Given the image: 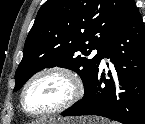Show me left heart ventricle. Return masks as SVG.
Instances as JSON below:
<instances>
[{
  "label": "left heart ventricle",
  "mask_w": 145,
  "mask_h": 124,
  "mask_svg": "<svg viewBox=\"0 0 145 124\" xmlns=\"http://www.w3.org/2000/svg\"><path fill=\"white\" fill-rule=\"evenodd\" d=\"M70 93L71 85L65 77L47 75L30 86L25 95V105L30 111H44L62 103Z\"/></svg>",
  "instance_id": "1"
}]
</instances>
